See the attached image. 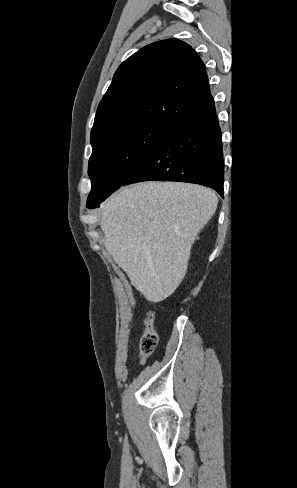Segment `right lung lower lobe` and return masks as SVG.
Wrapping results in <instances>:
<instances>
[{
  "label": "right lung lower lobe",
  "instance_id": "1",
  "mask_svg": "<svg viewBox=\"0 0 297 488\" xmlns=\"http://www.w3.org/2000/svg\"><path fill=\"white\" fill-rule=\"evenodd\" d=\"M223 178L221 130L213 102L172 126L122 185L149 180L189 182L211 187L223 197Z\"/></svg>",
  "mask_w": 297,
  "mask_h": 488
}]
</instances>
